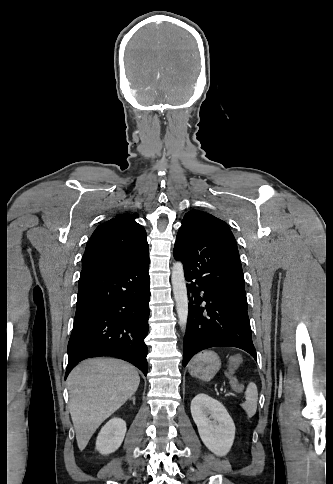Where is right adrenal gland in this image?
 <instances>
[{
	"mask_svg": "<svg viewBox=\"0 0 333 484\" xmlns=\"http://www.w3.org/2000/svg\"><path fill=\"white\" fill-rule=\"evenodd\" d=\"M132 400H133V403L135 404V397H133Z\"/></svg>",
	"mask_w": 333,
	"mask_h": 484,
	"instance_id": "obj_1",
	"label": "right adrenal gland"
}]
</instances>
